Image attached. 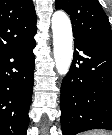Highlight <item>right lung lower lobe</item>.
I'll return each mask as SVG.
<instances>
[{
	"label": "right lung lower lobe",
	"mask_w": 112,
	"mask_h": 135,
	"mask_svg": "<svg viewBox=\"0 0 112 135\" xmlns=\"http://www.w3.org/2000/svg\"><path fill=\"white\" fill-rule=\"evenodd\" d=\"M34 35L0 55V135H26L34 83Z\"/></svg>",
	"instance_id": "obj_1"
}]
</instances>
